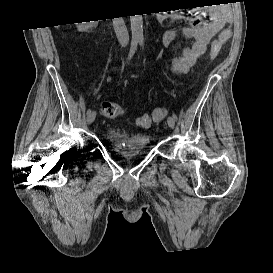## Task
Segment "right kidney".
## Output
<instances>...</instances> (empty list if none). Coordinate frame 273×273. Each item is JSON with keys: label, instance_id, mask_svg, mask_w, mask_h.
Returning a JSON list of instances; mask_svg holds the SVG:
<instances>
[{"label": "right kidney", "instance_id": "1", "mask_svg": "<svg viewBox=\"0 0 273 273\" xmlns=\"http://www.w3.org/2000/svg\"><path fill=\"white\" fill-rule=\"evenodd\" d=\"M77 25L79 31H87L91 26L96 24L93 21H91L90 23L87 22L77 23Z\"/></svg>", "mask_w": 273, "mask_h": 273}]
</instances>
